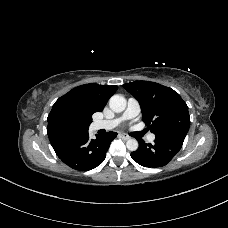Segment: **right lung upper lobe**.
Here are the masks:
<instances>
[{"mask_svg":"<svg viewBox=\"0 0 228 228\" xmlns=\"http://www.w3.org/2000/svg\"><path fill=\"white\" fill-rule=\"evenodd\" d=\"M117 86L85 84L70 90L52 107L47 121V134L87 132L92 115L103 111Z\"/></svg>","mask_w":228,"mask_h":228,"instance_id":"1","label":"right lung upper lobe"}]
</instances>
